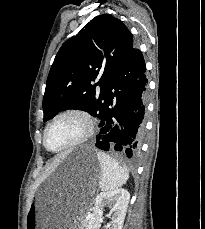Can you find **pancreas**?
Segmentation results:
<instances>
[{"label": "pancreas", "instance_id": "cf45deb5", "mask_svg": "<svg viewBox=\"0 0 205 229\" xmlns=\"http://www.w3.org/2000/svg\"><path fill=\"white\" fill-rule=\"evenodd\" d=\"M84 226H86V222H83L82 223V229H83Z\"/></svg>", "mask_w": 205, "mask_h": 229}]
</instances>
